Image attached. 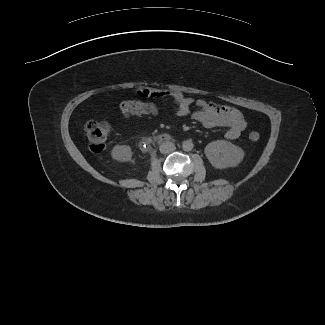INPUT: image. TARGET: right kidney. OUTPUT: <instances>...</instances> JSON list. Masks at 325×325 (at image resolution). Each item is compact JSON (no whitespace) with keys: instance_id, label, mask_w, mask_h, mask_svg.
Here are the masks:
<instances>
[{"instance_id":"1","label":"right kidney","mask_w":325,"mask_h":325,"mask_svg":"<svg viewBox=\"0 0 325 325\" xmlns=\"http://www.w3.org/2000/svg\"><path fill=\"white\" fill-rule=\"evenodd\" d=\"M112 158L121 162L130 161L132 158L131 147L127 145H116L111 152Z\"/></svg>"}]
</instances>
